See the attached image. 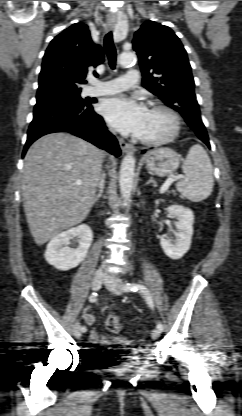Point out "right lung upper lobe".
<instances>
[{"label":"right lung upper lobe","instance_id":"right-lung-upper-lobe-1","mask_svg":"<svg viewBox=\"0 0 242 416\" xmlns=\"http://www.w3.org/2000/svg\"><path fill=\"white\" fill-rule=\"evenodd\" d=\"M104 60L101 46L93 43L88 26L76 23L56 36L43 57L38 97L61 88H78L88 72ZM95 73V72H94Z\"/></svg>","mask_w":242,"mask_h":416}]
</instances>
